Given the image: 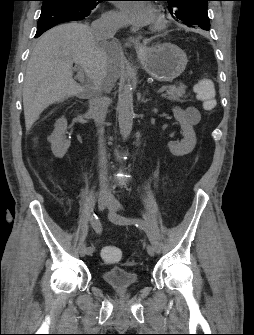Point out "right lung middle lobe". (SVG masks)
I'll return each instance as SVG.
<instances>
[{"label": "right lung middle lobe", "instance_id": "obj_1", "mask_svg": "<svg viewBox=\"0 0 254 335\" xmlns=\"http://www.w3.org/2000/svg\"><path fill=\"white\" fill-rule=\"evenodd\" d=\"M41 1H43V4L49 2H70L80 7L94 9L97 6V4L100 3L102 0H41Z\"/></svg>", "mask_w": 254, "mask_h": 335}]
</instances>
